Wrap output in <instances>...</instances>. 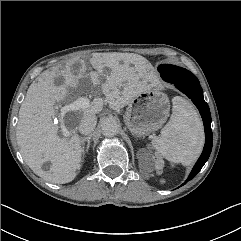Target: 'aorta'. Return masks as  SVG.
I'll list each match as a JSON object with an SVG mask.
<instances>
[{"label": "aorta", "instance_id": "obj_1", "mask_svg": "<svg viewBox=\"0 0 241 241\" xmlns=\"http://www.w3.org/2000/svg\"><path fill=\"white\" fill-rule=\"evenodd\" d=\"M119 124L115 119L106 118L101 122L102 134L106 137H113L118 133Z\"/></svg>", "mask_w": 241, "mask_h": 241}]
</instances>
